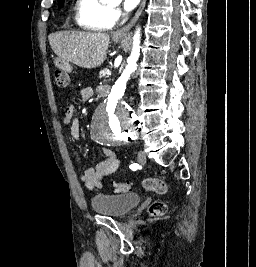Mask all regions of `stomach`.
Returning a JSON list of instances; mask_svg holds the SVG:
<instances>
[{
    "mask_svg": "<svg viewBox=\"0 0 256 267\" xmlns=\"http://www.w3.org/2000/svg\"><path fill=\"white\" fill-rule=\"evenodd\" d=\"M116 40H120V38H116ZM53 67H72V62H53Z\"/></svg>",
    "mask_w": 256,
    "mask_h": 267,
    "instance_id": "0dacf381",
    "label": "stomach"
}]
</instances>
